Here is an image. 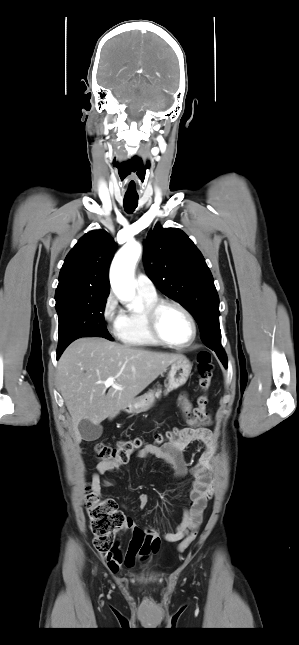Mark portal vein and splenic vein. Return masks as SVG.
Instances as JSON below:
<instances>
[{"label": "portal vein and splenic vein", "mask_w": 299, "mask_h": 645, "mask_svg": "<svg viewBox=\"0 0 299 645\" xmlns=\"http://www.w3.org/2000/svg\"><path fill=\"white\" fill-rule=\"evenodd\" d=\"M114 382H115V379H114L113 377H109V378H108L107 380H105L103 383H104V385H105L106 387H110V386H112V387H114V388H116V389H120V387H119V386H117Z\"/></svg>", "instance_id": "18ae733b"}]
</instances>
